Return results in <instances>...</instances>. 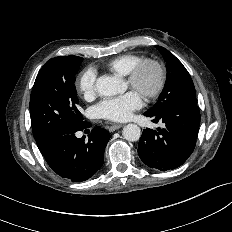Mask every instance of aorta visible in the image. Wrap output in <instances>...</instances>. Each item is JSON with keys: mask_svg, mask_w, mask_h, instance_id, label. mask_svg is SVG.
I'll return each instance as SVG.
<instances>
[{"mask_svg": "<svg viewBox=\"0 0 232 232\" xmlns=\"http://www.w3.org/2000/svg\"><path fill=\"white\" fill-rule=\"evenodd\" d=\"M96 90L102 96H114L123 93L126 89L125 83L113 76H101L96 81ZM122 135L127 141H137L141 136V129L136 124H128L122 130Z\"/></svg>", "mask_w": 232, "mask_h": 232, "instance_id": "762f6f07", "label": "aorta"}]
</instances>
